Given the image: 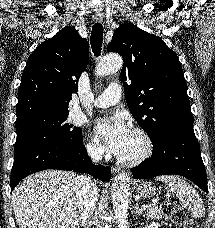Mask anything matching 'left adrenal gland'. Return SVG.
Wrapping results in <instances>:
<instances>
[{
	"label": "left adrenal gland",
	"mask_w": 215,
	"mask_h": 228,
	"mask_svg": "<svg viewBox=\"0 0 215 228\" xmlns=\"http://www.w3.org/2000/svg\"><path fill=\"white\" fill-rule=\"evenodd\" d=\"M135 212L137 216H143V218H145V214H143L142 210H140L138 204H135Z\"/></svg>",
	"instance_id": "left-adrenal-gland-1"
}]
</instances>
